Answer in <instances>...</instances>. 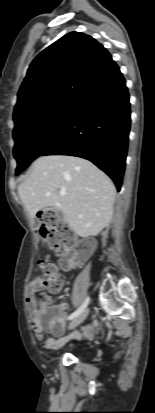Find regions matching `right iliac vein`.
Returning <instances> with one entry per match:
<instances>
[{
	"label": "right iliac vein",
	"instance_id": "obj_1",
	"mask_svg": "<svg viewBox=\"0 0 155 413\" xmlns=\"http://www.w3.org/2000/svg\"><path fill=\"white\" fill-rule=\"evenodd\" d=\"M89 313V309H85L84 311H82L78 316H76L69 324L68 329L72 330L74 329L76 326H78L80 323H82L86 317L88 316Z\"/></svg>",
	"mask_w": 155,
	"mask_h": 413
}]
</instances>
